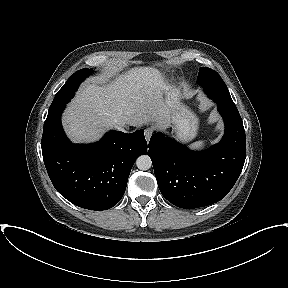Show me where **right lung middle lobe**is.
Listing matches in <instances>:
<instances>
[{
	"instance_id": "dd1d6c3e",
	"label": "right lung middle lobe",
	"mask_w": 288,
	"mask_h": 288,
	"mask_svg": "<svg viewBox=\"0 0 288 288\" xmlns=\"http://www.w3.org/2000/svg\"><path fill=\"white\" fill-rule=\"evenodd\" d=\"M92 72V69L83 68L75 72L55 95L48 112L64 106L74 96L79 84Z\"/></svg>"
}]
</instances>
